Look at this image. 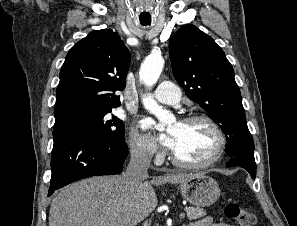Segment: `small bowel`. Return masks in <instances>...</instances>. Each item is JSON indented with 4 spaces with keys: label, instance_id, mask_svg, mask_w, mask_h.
<instances>
[{
    "label": "small bowel",
    "instance_id": "c3829d8e",
    "mask_svg": "<svg viewBox=\"0 0 297 226\" xmlns=\"http://www.w3.org/2000/svg\"><path fill=\"white\" fill-rule=\"evenodd\" d=\"M190 226H231V225L225 224V223H214L210 216H206L193 222Z\"/></svg>",
    "mask_w": 297,
    "mask_h": 226
}]
</instances>
